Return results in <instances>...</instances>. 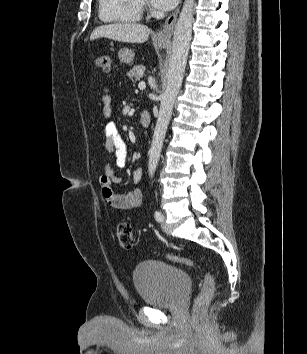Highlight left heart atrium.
Listing matches in <instances>:
<instances>
[{
  "instance_id": "obj_1",
  "label": "left heart atrium",
  "mask_w": 307,
  "mask_h": 354,
  "mask_svg": "<svg viewBox=\"0 0 307 354\" xmlns=\"http://www.w3.org/2000/svg\"><path fill=\"white\" fill-rule=\"evenodd\" d=\"M178 0H150L151 5L162 11L170 10L172 9Z\"/></svg>"
}]
</instances>
